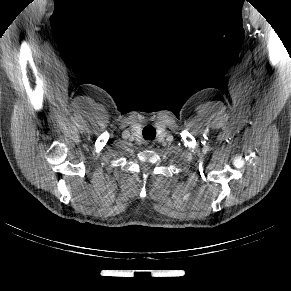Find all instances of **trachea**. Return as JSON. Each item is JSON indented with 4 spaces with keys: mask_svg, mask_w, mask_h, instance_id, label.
<instances>
[{
    "mask_svg": "<svg viewBox=\"0 0 291 291\" xmlns=\"http://www.w3.org/2000/svg\"><path fill=\"white\" fill-rule=\"evenodd\" d=\"M143 137L145 140H153L156 136V130L152 126H146L143 129Z\"/></svg>",
    "mask_w": 291,
    "mask_h": 291,
    "instance_id": "obj_1",
    "label": "trachea"
}]
</instances>
